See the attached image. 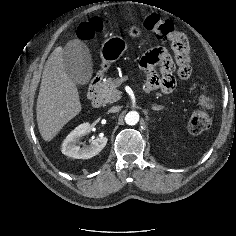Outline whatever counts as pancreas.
<instances>
[{
	"label": "pancreas",
	"instance_id": "obj_1",
	"mask_svg": "<svg viewBox=\"0 0 236 236\" xmlns=\"http://www.w3.org/2000/svg\"><path fill=\"white\" fill-rule=\"evenodd\" d=\"M120 82L113 78H107L103 81L98 90V96L104 103H113L121 98L122 93L117 89Z\"/></svg>",
	"mask_w": 236,
	"mask_h": 236
}]
</instances>
